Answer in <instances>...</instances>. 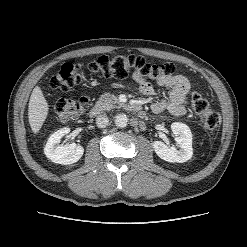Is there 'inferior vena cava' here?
I'll use <instances>...</instances> for the list:
<instances>
[{"label": "inferior vena cava", "instance_id": "602c4592", "mask_svg": "<svg viewBox=\"0 0 247 247\" xmlns=\"http://www.w3.org/2000/svg\"><path fill=\"white\" fill-rule=\"evenodd\" d=\"M108 124H109V119L105 114L97 116L96 118L97 127L105 128Z\"/></svg>", "mask_w": 247, "mask_h": 247}]
</instances>
